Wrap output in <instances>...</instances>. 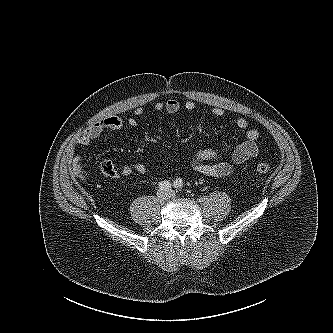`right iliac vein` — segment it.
<instances>
[{"label":"right iliac vein","instance_id":"63e3f726","mask_svg":"<svg viewBox=\"0 0 333 333\" xmlns=\"http://www.w3.org/2000/svg\"><path fill=\"white\" fill-rule=\"evenodd\" d=\"M157 195H158V197L159 198H161V199H166L167 197H168V192H166V191H159L158 193H157Z\"/></svg>","mask_w":333,"mask_h":333}]
</instances>
